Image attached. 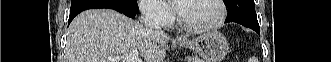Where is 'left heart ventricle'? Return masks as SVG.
<instances>
[{
  "label": "left heart ventricle",
  "mask_w": 331,
  "mask_h": 62,
  "mask_svg": "<svg viewBox=\"0 0 331 62\" xmlns=\"http://www.w3.org/2000/svg\"><path fill=\"white\" fill-rule=\"evenodd\" d=\"M180 13L189 24L206 25L216 20L219 9L213 0H190L182 3Z\"/></svg>",
  "instance_id": "1"
}]
</instances>
